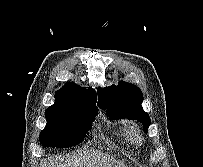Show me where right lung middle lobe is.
Returning a JSON list of instances; mask_svg holds the SVG:
<instances>
[{
  "instance_id": "right-lung-middle-lobe-1",
  "label": "right lung middle lobe",
  "mask_w": 203,
  "mask_h": 167,
  "mask_svg": "<svg viewBox=\"0 0 203 167\" xmlns=\"http://www.w3.org/2000/svg\"><path fill=\"white\" fill-rule=\"evenodd\" d=\"M97 112L95 102L76 103L45 111L47 124L40 133V142L45 147H71L79 144L92 127Z\"/></svg>"
}]
</instances>
